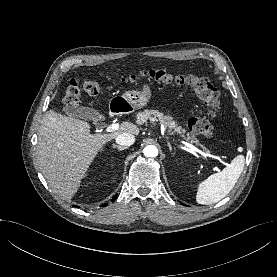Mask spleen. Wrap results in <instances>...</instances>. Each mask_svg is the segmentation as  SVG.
<instances>
[{"mask_svg": "<svg viewBox=\"0 0 277 277\" xmlns=\"http://www.w3.org/2000/svg\"><path fill=\"white\" fill-rule=\"evenodd\" d=\"M245 164L243 155H238L221 172L210 175L199 183L196 201L202 205L217 203L223 199L235 186Z\"/></svg>", "mask_w": 277, "mask_h": 277, "instance_id": "1", "label": "spleen"}]
</instances>
